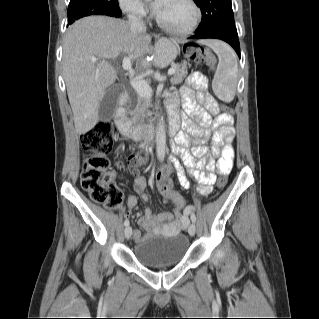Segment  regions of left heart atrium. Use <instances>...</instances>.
Masks as SVG:
<instances>
[{"mask_svg":"<svg viewBox=\"0 0 319 319\" xmlns=\"http://www.w3.org/2000/svg\"><path fill=\"white\" fill-rule=\"evenodd\" d=\"M162 1H164V0H154V1H151V6H152V8H153L156 12L161 8Z\"/></svg>","mask_w":319,"mask_h":319,"instance_id":"39dd6f15","label":"left heart atrium"}]
</instances>
